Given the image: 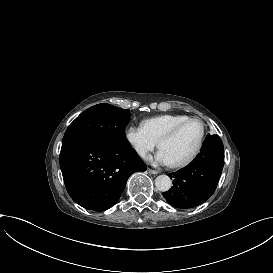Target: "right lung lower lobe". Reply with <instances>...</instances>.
<instances>
[{
  "mask_svg": "<svg viewBox=\"0 0 273 273\" xmlns=\"http://www.w3.org/2000/svg\"><path fill=\"white\" fill-rule=\"evenodd\" d=\"M59 161L71 198L93 211L114 206L131 174L146 170L132 147L83 139L62 144Z\"/></svg>",
  "mask_w": 273,
  "mask_h": 273,
  "instance_id": "98d812e1",
  "label": "right lung lower lobe"
}]
</instances>
